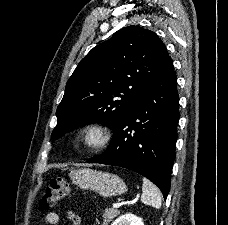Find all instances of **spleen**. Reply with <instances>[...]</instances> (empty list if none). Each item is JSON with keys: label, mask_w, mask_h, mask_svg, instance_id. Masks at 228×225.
Returning <instances> with one entry per match:
<instances>
[{"label": "spleen", "mask_w": 228, "mask_h": 225, "mask_svg": "<svg viewBox=\"0 0 228 225\" xmlns=\"http://www.w3.org/2000/svg\"><path fill=\"white\" fill-rule=\"evenodd\" d=\"M141 201L144 205H151L155 209H160L161 207V193L158 187L150 183L148 179H143Z\"/></svg>", "instance_id": "obj_1"}]
</instances>
